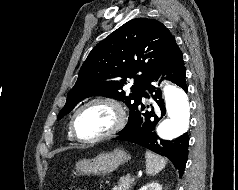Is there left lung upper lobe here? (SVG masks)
Returning a JSON list of instances; mask_svg holds the SVG:
<instances>
[{
  "instance_id": "left-lung-upper-lobe-1",
  "label": "left lung upper lobe",
  "mask_w": 238,
  "mask_h": 190,
  "mask_svg": "<svg viewBox=\"0 0 238 190\" xmlns=\"http://www.w3.org/2000/svg\"><path fill=\"white\" fill-rule=\"evenodd\" d=\"M179 50L175 38L161 22L143 17L128 21L90 52L57 119L90 96L123 101L131 114L149 79ZM126 78H133L130 94L123 91Z\"/></svg>"
}]
</instances>
